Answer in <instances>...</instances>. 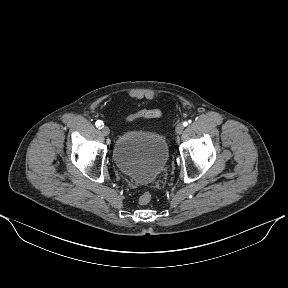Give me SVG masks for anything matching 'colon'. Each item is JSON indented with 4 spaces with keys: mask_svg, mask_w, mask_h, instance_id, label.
<instances>
[{
    "mask_svg": "<svg viewBox=\"0 0 288 288\" xmlns=\"http://www.w3.org/2000/svg\"><path fill=\"white\" fill-rule=\"evenodd\" d=\"M163 114L160 109H143L127 117V121H134L139 118H157ZM152 196L149 192L140 195L138 201L141 205H147L151 202Z\"/></svg>",
    "mask_w": 288,
    "mask_h": 288,
    "instance_id": "colon-1",
    "label": "colon"
}]
</instances>
